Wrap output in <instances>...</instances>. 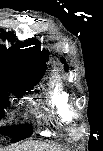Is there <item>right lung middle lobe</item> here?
Wrapping results in <instances>:
<instances>
[{
	"mask_svg": "<svg viewBox=\"0 0 103 151\" xmlns=\"http://www.w3.org/2000/svg\"><path fill=\"white\" fill-rule=\"evenodd\" d=\"M40 78L27 82L24 86L19 88L10 87L6 81L0 79V116L4 114L3 108L8 106L7 102V89L9 88L16 95L15 98H20L24 94L31 92L30 90L39 82ZM28 91V92H27ZM2 132H11L13 136V142L20 141L24 138H27L31 135V128L29 124L19 125L16 128L7 127L2 128Z\"/></svg>",
	"mask_w": 103,
	"mask_h": 151,
	"instance_id": "dd1d6c3e",
	"label": "right lung middle lobe"
}]
</instances>
